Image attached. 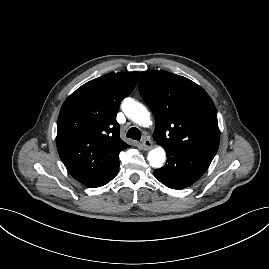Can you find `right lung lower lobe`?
Masks as SVG:
<instances>
[{"label": "right lung lower lobe", "instance_id": "right-lung-lower-lobe-1", "mask_svg": "<svg viewBox=\"0 0 269 269\" xmlns=\"http://www.w3.org/2000/svg\"><path fill=\"white\" fill-rule=\"evenodd\" d=\"M118 171H119V164L114 167V169L107 175V177H105L102 181H100L94 187H100V186H103V185L107 184L108 182H110L118 174Z\"/></svg>", "mask_w": 269, "mask_h": 269}]
</instances>
